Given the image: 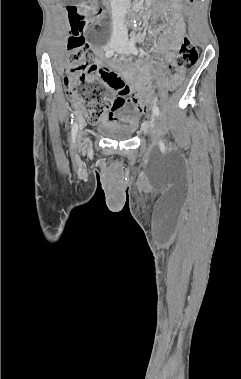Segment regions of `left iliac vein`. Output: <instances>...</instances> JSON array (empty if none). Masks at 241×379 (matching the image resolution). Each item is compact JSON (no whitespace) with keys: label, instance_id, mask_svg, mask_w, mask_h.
<instances>
[{"label":"left iliac vein","instance_id":"left-iliac-vein-1","mask_svg":"<svg viewBox=\"0 0 241 379\" xmlns=\"http://www.w3.org/2000/svg\"><path fill=\"white\" fill-rule=\"evenodd\" d=\"M117 51L121 54H128L130 52L129 46L127 41H124L117 49ZM144 131L149 133L155 140V142L159 143V135L156 128V119L154 116L151 117V120L149 122H146L144 124Z\"/></svg>","mask_w":241,"mask_h":379}]
</instances>
